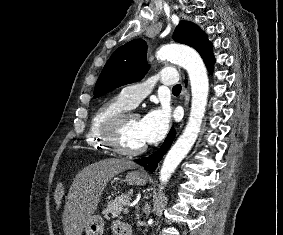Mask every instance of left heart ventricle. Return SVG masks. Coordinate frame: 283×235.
<instances>
[{"label":"left heart ventricle","instance_id":"left-heart-ventricle-1","mask_svg":"<svg viewBox=\"0 0 283 235\" xmlns=\"http://www.w3.org/2000/svg\"><path fill=\"white\" fill-rule=\"evenodd\" d=\"M139 121V117L132 116L123 125L119 139L127 149H137L145 144L140 134Z\"/></svg>","mask_w":283,"mask_h":235}]
</instances>
